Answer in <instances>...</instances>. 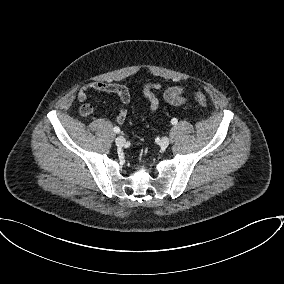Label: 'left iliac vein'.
Returning a JSON list of instances; mask_svg holds the SVG:
<instances>
[{"instance_id": "1", "label": "left iliac vein", "mask_w": 284, "mask_h": 284, "mask_svg": "<svg viewBox=\"0 0 284 284\" xmlns=\"http://www.w3.org/2000/svg\"><path fill=\"white\" fill-rule=\"evenodd\" d=\"M169 143H170L169 138H168V137H163V138L161 139V141H160V147H161L162 149H166V148L168 147Z\"/></svg>"}]
</instances>
